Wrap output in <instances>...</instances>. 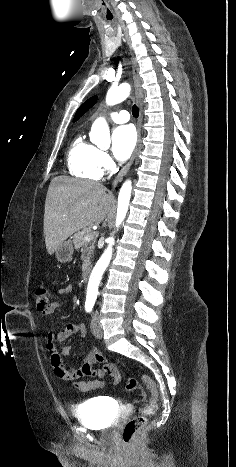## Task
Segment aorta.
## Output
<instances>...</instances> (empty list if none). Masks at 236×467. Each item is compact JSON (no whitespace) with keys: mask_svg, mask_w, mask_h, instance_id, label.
<instances>
[{"mask_svg":"<svg viewBox=\"0 0 236 467\" xmlns=\"http://www.w3.org/2000/svg\"><path fill=\"white\" fill-rule=\"evenodd\" d=\"M131 86L128 83H122L118 87H112L108 90L106 95V104L109 106L116 105L124 101L130 94ZM109 137V126L103 117L97 118L91 127L90 139L97 146H102V140H107ZM132 191L131 180H126L118 195L116 227L118 228L126 217L130 197ZM114 237L108 238V246L101 255L100 259L93 268L87 287L86 298L88 301H95L98 294V287L102 275L107 268L111 257L114 245Z\"/></svg>","mask_w":236,"mask_h":467,"instance_id":"obj_1","label":"aorta"}]
</instances>
